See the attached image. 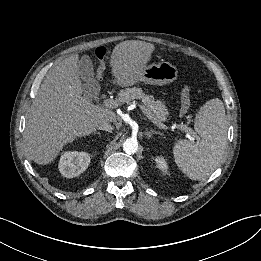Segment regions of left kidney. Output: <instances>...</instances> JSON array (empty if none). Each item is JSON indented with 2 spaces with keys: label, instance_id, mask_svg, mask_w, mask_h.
<instances>
[{
  "label": "left kidney",
  "instance_id": "5707ae66",
  "mask_svg": "<svg viewBox=\"0 0 261 261\" xmlns=\"http://www.w3.org/2000/svg\"><path fill=\"white\" fill-rule=\"evenodd\" d=\"M155 162L157 164V167L163 172V173H167L168 172V164L166 162V160L164 159V157L162 156H157L155 158Z\"/></svg>",
  "mask_w": 261,
  "mask_h": 261
}]
</instances>
